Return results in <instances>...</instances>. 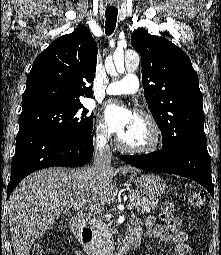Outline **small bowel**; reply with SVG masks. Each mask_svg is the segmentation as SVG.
Masks as SVG:
<instances>
[{"instance_id":"1","label":"small bowel","mask_w":221,"mask_h":255,"mask_svg":"<svg viewBox=\"0 0 221 255\" xmlns=\"http://www.w3.org/2000/svg\"><path fill=\"white\" fill-rule=\"evenodd\" d=\"M161 224L157 223L155 216L149 215L144 220L145 236L157 239L173 247L172 255H192L188 245V234L182 230L181 220L175 216L172 203H164L159 215ZM130 238L139 239L142 236V228L139 221H134L129 228ZM74 255H83L80 251Z\"/></svg>"}]
</instances>
